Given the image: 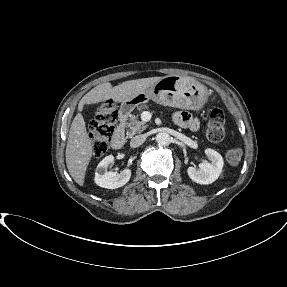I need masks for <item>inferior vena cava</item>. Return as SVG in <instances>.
I'll use <instances>...</instances> for the list:
<instances>
[{"label":"inferior vena cava","instance_id":"1","mask_svg":"<svg viewBox=\"0 0 287 287\" xmlns=\"http://www.w3.org/2000/svg\"><path fill=\"white\" fill-rule=\"evenodd\" d=\"M146 140V136L144 134L142 135H137L135 137H133L130 141V146L132 148H137L139 147L140 145H142Z\"/></svg>","mask_w":287,"mask_h":287}]
</instances>
